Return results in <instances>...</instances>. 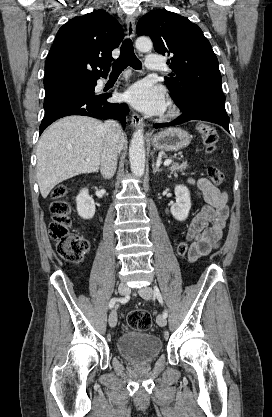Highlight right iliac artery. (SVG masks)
Masks as SVG:
<instances>
[{
  "label": "right iliac artery",
  "instance_id": "1",
  "mask_svg": "<svg viewBox=\"0 0 272 417\" xmlns=\"http://www.w3.org/2000/svg\"><path fill=\"white\" fill-rule=\"evenodd\" d=\"M128 300H129L128 296L123 297V298H112L109 302V308L110 309L113 308L116 302L126 303L128 302Z\"/></svg>",
  "mask_w": 272,
  "mask_h": 417
}]
</instances>
